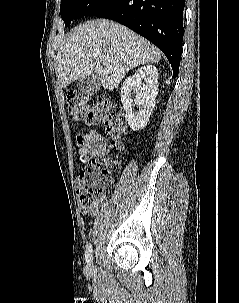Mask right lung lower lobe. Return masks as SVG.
<instances>
[{
    "label": "right lung lower lobe",
    "instance_id": "right-lung-lower-lobe-1",
    "mask_svg": "<svg viewBox=\"0 0 239 303\" xmlns=\"http://www.w3.org/2000/svg\"><path fill=\"white\" fill-rule=\"evenodd\" d=\"M185 0H106L88 16L117 21L155 44L178 75Z\"/></svg>",
    "mask_w": 239,
    "mask_h": 303
}]
</instances>
